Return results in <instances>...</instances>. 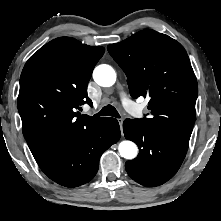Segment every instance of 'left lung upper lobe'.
Returning <instances> with one entry per match:
<instances>
[{"instance_id":"left-lung-upper-lobe-1","label":"left lung upper lobe","mask_w":221,"mask_h":221,"mask_svg":"<svg viewBox=\"0 0 221 221\" xmlns=\"http://www.w3.org/2000/svg\"><path fill=\"white\" fill-rule=\"evenodd\" d=\"M107 49L125 72L131 96L150 97L152 116L137 120L164 136L189 142L198 87L183 46L148 29Z\"/></svg>"}]
</instances>
